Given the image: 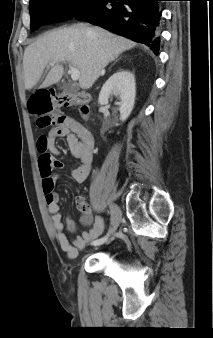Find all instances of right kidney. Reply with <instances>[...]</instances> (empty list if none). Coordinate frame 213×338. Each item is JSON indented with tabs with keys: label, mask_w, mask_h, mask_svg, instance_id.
<instances>
[{
	"label": "right kidney",
	"mask_w": 213,
	"mask_h": 338,
	"mask_svg": "<svg viewBox=\"0 0 213 338\" xmlns=\"http://www.w3.org/2000/svg\"><path fill=\"white\" fill-rule=\"evenodd\" d=\"M135 77L126 70H119L114 73L103 85L98 102L100 105H106L110 96L119 97L120 102V120L125 121L131 114L136 96Z\"/></svg>",
	"instance_id": "obj_1"
}]
</instances>
